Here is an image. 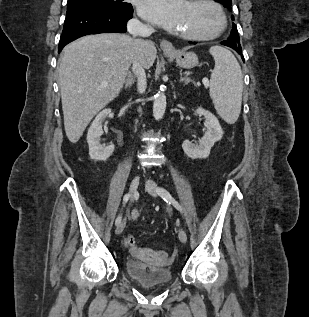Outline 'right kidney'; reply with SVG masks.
Segmentation results:
<instances>
[{
	"label": "right kidney",
	"instance_id": "right-kidney-1",
	"mask_svg": "<svg viewBox=\"0 0 309 317\" xmlns=\"http://www.w3.org/2000/svg\"><path fill=\"white\" fill-rule=\"evenodd\" d=\"M110 113L111 109L101 111L92 122L87 133L89 156L95 161H105L114 152L113 144L105 146L100 143V136L103 134L102 123Z\"/></svg>",
	"mask_w": 309,
	"mask_h": 317
}]
</instances>
